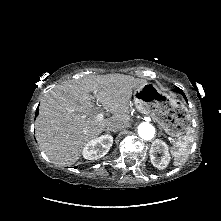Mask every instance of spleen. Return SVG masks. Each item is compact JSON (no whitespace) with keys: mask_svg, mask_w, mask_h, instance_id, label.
<instances>
[{"mask_svg":"<svg viewBox=\"0 0 221 221\" xmlns=\"http://www.w3.org/2000/svg\"><path fill=\"white\" fill-rule=\"evenodd\" d=\"M193 129L189 128L187 134L174 143L171 148V154L174 157V164L181 165L189 156L194 138L192 136Z\"/></svg>","mask_w":221,"mask_h":221,"instance_id":"obj_1","label":"spleen"}]
</instances>
